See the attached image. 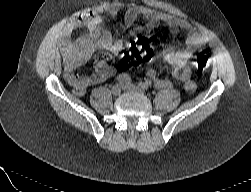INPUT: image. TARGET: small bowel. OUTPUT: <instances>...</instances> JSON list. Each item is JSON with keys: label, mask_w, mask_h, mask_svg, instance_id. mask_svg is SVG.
<instances>
[{"label": "small bowel", "mask_w": 251, "mask_h": 192, "mask_svg": "<svg viewBox=\"0 0 251 192\" xmlns=\"http://www.w3.org/2000/svg\"><path fill=\"white\" fill-rule=\"evenodd\" d=\"M136 19V12L128 11L124 18V25L128 27ZM87 25L88 33L76 40L70 38L71 32L76 27L75 22L68 23L59 36L64 77L77 96H83L90 86L99 84L111 77L115 70L102 60L95 62L94 71L90 75L79 76L75 72L76 69L96 51L118 55L123 48L122 42L113 40L111 33L102 26L100 19L93 18L88 21ZM159 28H166L174 37L173 45L164 52V59L172 69L173 78L181 83L185 91H193L196 84L192 79V68L189 61L195 48L207 42L206 36L191 25L181 22L161 24L157 20H151L145 30L151 31ZM179 32L185 33L186 46L184 47L176 39ZM147 74L153 80L156 88L167 89L173 85L170 78L161 76L156 69L148 70Z\"/></svg>", "instance_id": "1"}]
</instances>
